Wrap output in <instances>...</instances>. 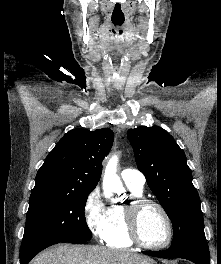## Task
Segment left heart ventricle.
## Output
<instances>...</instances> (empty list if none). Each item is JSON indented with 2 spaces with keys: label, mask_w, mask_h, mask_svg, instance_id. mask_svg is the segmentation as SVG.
<instances>
[{
  "label": "left heart ventricle",
  "mask_w": 221,
  "mask_h": 264,
  "mask_svg": "<svg viewBox=\"0 0 221 264\" xmlns=\"http://www.w3.org/2000/svg\"><path fill=\"white\" fill-rule=\"evenodd\" d=\"M139 232L144 242L159 245L168 236L167 223L161 212L154 206H146L140 214Z\"/></svg>",
  "instance_id": "b2bd125f"
}]
</instances>
